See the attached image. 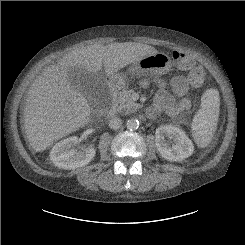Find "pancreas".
Segmentation results:
<instances>
[{
	"mask_svg": "<svg viewBox=\"0 0 245 245\" xmlns=\"http://www.w3.org/2000/svg\"><path fill=\"white\" fill-rule=\"evenodd\" d=\"M117 110L124 113H132L137 110L138 104L135 103L130 97V91L123 89L119 92L116 99Z\"/></svg>",
	"mask_w": 245,
	"mask_h": 245,
	"instance_id": "pancreas-1",
	"label": "pancreas"
}]
</instances>
